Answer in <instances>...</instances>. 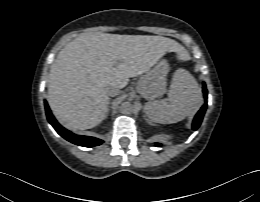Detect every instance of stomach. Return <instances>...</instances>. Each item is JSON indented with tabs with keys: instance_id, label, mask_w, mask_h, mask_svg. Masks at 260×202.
I'll return each instance as SVG.
<instances>
[{
	"instance_id": "1",
	"label": "stomach",
	"mask_w": 260,
	"mask_h": 202,
	"mask_svg": "<svg viewBox=\"0 0 260 202\" xmlns=\"http://www.w3.org/2000/svg\"><path fill=\"white\" fill-rule=\"evenodd\" d=\"M169 65L166 60H161L157 65L143 75L138 82V92L148 100H153L165 92L166 76Z\"/></svg>"
}]
</instances>
